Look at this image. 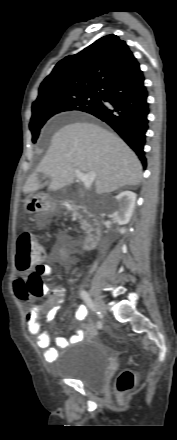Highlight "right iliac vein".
Returning a JSON list of instances; mask_svg holds the SVG:
<instances>
[{
	"instance_id": "63e3f726",
	"label": "right iliac vein",
	"mask_w": 177,
	"mask_h": 440,
	"mask_svg": "<svg viewBox=\"0 0 177 440\" xmlns=\"http://www.w3.org/2000/svg\"><path fill=\"white\" fill-rule=\"evenodd\" d=\"M95 307L100 312L101 315L106 314V305L101 297L95 296L94 299Z\"/></svg>"
}]
</instances>
